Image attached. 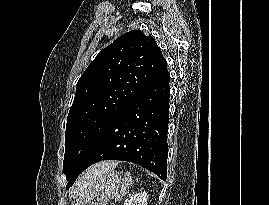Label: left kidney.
<instances>
[{"instance_id": "obj_1", "label": "left kidney", "mask_w": 269, "mask_h": 205, "mask_svg": "<svg viewBox=\"0 0 269 205\" xmlns=\"http://www.w3.org/2000/svg\"><path fill=\"white\" fill-rule=\"evenodd\" d=\"M146 192L136 193L125 200L124 205H148Z\"/></svg>"}]
</instances>
